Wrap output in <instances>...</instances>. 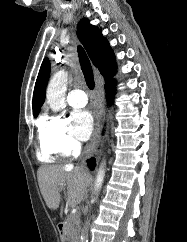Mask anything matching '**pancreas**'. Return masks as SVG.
Returning <instances> with one entry per match:
<instances>
[{"label":"pancreas","mask_w":187,"mask_h":242,"mask_svg":"<svg viewBox=\"0 0 187 242\" xmlns=\"http://www.w3.org/2000/svg\"><path fill=\"white\" fill-rule=\"evenodd\" d=\"M80 212L70 215L65 222V235L68 242H79Z\"/></svg>","instance_id":"obj_1"}]
</instances>
